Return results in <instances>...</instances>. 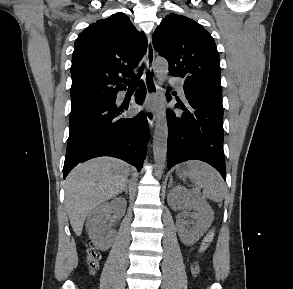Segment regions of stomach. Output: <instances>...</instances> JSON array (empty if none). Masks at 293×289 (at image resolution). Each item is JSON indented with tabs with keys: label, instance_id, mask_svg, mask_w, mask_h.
Segmentation results:
<instances>
[{
	"label": "stomach",
	"instance_id": "stomach-1",
	"mask_svg": "<svg viewBox=\"0 0 293 289\" xmlns=\"http://www.w3.org/2000/svg\"><path fill=\"white\" fill-rule=\"evenodd\" d=\"M176 175L182 178L189 176L188 163L181 164L176 168Z\"/></svg>",
	"mask_w": 293,
	"mask_h": 289
}]
</instances>
